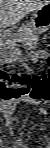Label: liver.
<instances>
[{
    "label": "liver",
    "mask_w": 50,
    "mask_h": 148,
    "mask_svg": "<svg viewBox=\"0 0 50 148\" xmlns=\"http://www.w3.org/2000/svg\"><path fill=\"white\" fill-rule=\"evenodd\" d=\"M48 3L49 0H1L0 25L4 28L14 25L30 12Z\"/></svg>",
    "instance_id": "6515ba94"
}]
</instances>
